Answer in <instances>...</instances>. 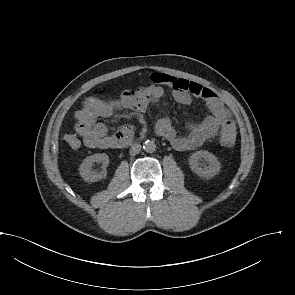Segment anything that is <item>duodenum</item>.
Segmentation results:
<instances>
[{"instance_id":"obj_1","label":"duodenum","mask_w":295,"mask_h":295,"mask_svg":"<svg viewBox=\"0 0 295 295\" xmlns=\"http://www.w3.org/2000/svg\"><path fill=\"white\" fill-rule=\"evenodd\" d=\"M131 143L130 137H123L116 141L115 145L116 147H124Z\"/></svg>"}]
</instances>
